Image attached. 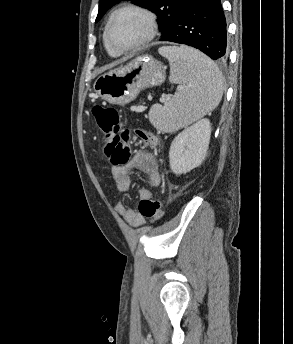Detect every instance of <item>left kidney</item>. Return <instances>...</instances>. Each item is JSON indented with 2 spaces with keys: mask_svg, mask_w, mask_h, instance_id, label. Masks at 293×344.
<instances>
[{
  "mask_svg": "<svg viewBox=\"0 0 293 344\" xmlns=\"http://www.w3.org/2000/svg\"><path fill=\"white\" fill-rule=\"evenodd\" d=\"M211 135L207 118L201 119L180 132L169 151L170 168L176 175L186 174L201 165L205 159Z\"/></svg>",
  "mask_w": 293,
  "mask_h": 344,
  "instance_id": "left-kidney-1",
  "label": "left kidney"
}]
</instances>
